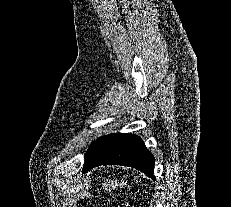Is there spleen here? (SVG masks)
<instances>
[{
    "mask_svg": "<svg viewBox=\"0 0 231 207\" xmlns=\"http://www.w3.org/2000/svg\"><path fill=\"white\" fill-rule=\"evenodd\" d=\"M118 185L123 186V185H126V183L121 182V183L119 184V183H117L116 181L113 183V187L118 186ZM128 188H129V186H128Z\"/></svg>",
    "mask_w": 231,
    "mask_h": 207,
    "instance_id": "obj_1",
    "label": "spleen"
}]
</instances>
